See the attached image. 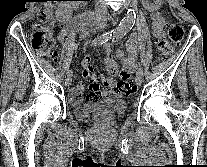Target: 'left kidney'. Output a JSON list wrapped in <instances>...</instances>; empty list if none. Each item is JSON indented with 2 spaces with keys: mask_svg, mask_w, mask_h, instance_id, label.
I'll use <instances>...</instances> for the list:
<instances>
[{
  "mask_svg": "<svg viewBox=\"0 0 207 167\" xmlns=\"http://www.w3.org/2000/svg\"><path fill=\"white\" fill-rule=\"evenodd\" d=\"M156 5L157 6L161 5V0H156Z\"/></svg>",
  "mask_w": 207,
  "mask_h": 167,
  "instance_id": "left-kidney-1",
  "label": "left kidney"
}]
</instances>
